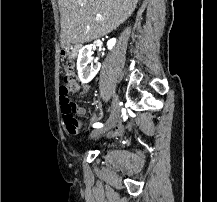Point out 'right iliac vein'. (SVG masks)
Masks as SVG:
<instances>
[{
	"instance_id": "63e3f726",
	"label": "right iliac vein",
	"mask_w": 217,
	"mask_h": 202,
	"mask_svg": "<svg viewBox=\"0 0 217 202\" xmlns=\"http://www.w3.org/2000/svg\"><path fill=\"white\" fill-rule=\"evenodd\" d=\"M119 113H120L119 98L118 95L114 94L112 100L111 113L108 120L106 121L105 127L99 130L92 131L90 136L93 137V136L104 135L106 131H108L111 127L114 126V124L116 123L119 117Z\"/></svg>"
}]
</instances>
